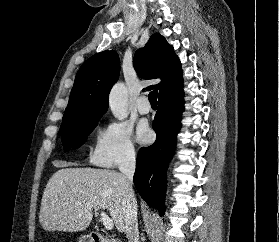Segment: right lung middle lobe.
<instances>
[{
	"label": "right lung middle lobe",
	"instance_id": "right-lung-middle-lobe-1",
	"mask_svg": "<svg viewBox=\"0 0 279 242\" xmlns=\"http://www.w3.org/2000/svg\"><path fill=\"white\" fill-rule=\"evenodd\" d=\"M99 119L100 117H91L77 124L62 125L59 134L63 137L64 149L68 151L70 147L79 148L87 135L95 128Z\"/></svg>",
	"mask_w": 279,
	"mask_h": 242
}]
</instances>
